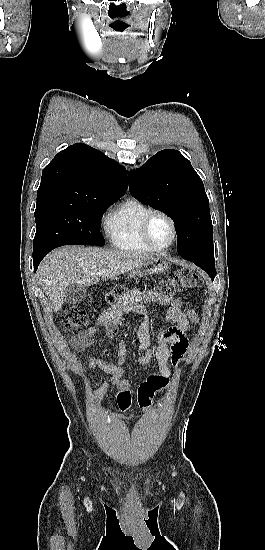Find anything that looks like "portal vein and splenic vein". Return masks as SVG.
I'll return each mask as SVG.
<instances>
[{
    "mask_svg": "<svg viewBox=\"0 0 265 550\" xmlns=\"http://www.w3.org/2000/svg\"><path fill=\"white\" fill-rule=\"evenodd\" d=\"M102 274H103V272H99V275H102Z\"/></svg>",
    "mask_w": 265,
    "mask_h": 550,
    "instance_id": "portal-vein-and-splenic-vein-1",
    "label": "portal vein and splenic vein"
}]
</instances>
